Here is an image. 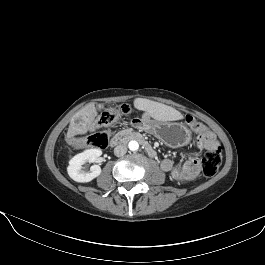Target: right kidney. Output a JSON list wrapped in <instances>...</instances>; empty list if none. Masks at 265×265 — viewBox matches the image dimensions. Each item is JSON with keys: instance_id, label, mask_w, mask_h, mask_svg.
Wrapping results in <instances>:
<instances>
[{"instance_id": "right-kidney-1", "label": "right kidney", "mask_w": 265, "mask_h": 265, "mask_svg": "<svg viewBox=\"0 0 265 265\" xmlns=\"http://www.w3.org/2000/svg\"><path fill=\"white\" fill-rule=\"evenodd\" d=\"M101 149H89L74 156L67 168L68 175L76 182L87 183L95 179L101 174V167L93 165L89 172L82 170V165L85 163H94L101 156Z\"/></svg>"}]
</instances>
